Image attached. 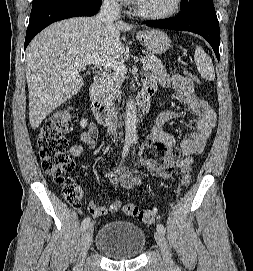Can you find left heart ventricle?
<instances>
[{
    "label": "left heart ventricle",
    "mask_w": 253,
    "mask_h": 271,
    "mask_svg": "<svg viewBox=\"0 0 253 271\" xmlns=\"http://www.w3.org/2000/svg\"><path fill=\"white\" fill-rule=\"evenodd\" d=\"M175 0H138L140 7L148 12L154 14H161L169 11Z\"/></svg>",
    "instance_id": "left-heart-ventricle-1"
}]
</instances>
